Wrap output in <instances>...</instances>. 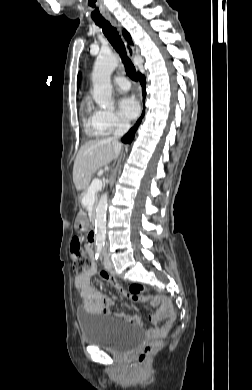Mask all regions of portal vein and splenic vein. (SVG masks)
Wrapping results in <instances>:
<instances>
[{"instance_id":"portal-vein-and-splenic-vein-1","label":"portal vein and splenic vein","mask_w":252,"mask_h":390,"mask_svg":"<svg viewBox=\"0 0 252 390\" xmlns=\"http://www.w3.org/2000/svg\"><path fill=\"white\" fill-rule=\"evenodd\" d=\"M102 187V181L100 179H94L88 188L87 195L83 199V203L89 205L93 202L95 193Z\"/></svg>"}]
</instances>
